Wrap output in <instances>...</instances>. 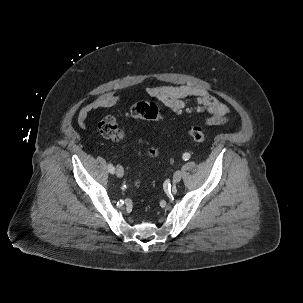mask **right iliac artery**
<instances>
[{
	"instance_id": "right-iliac-artery-1",
	"label": "right iliac artery",
	"mask_w": 303,
	"mask_h": 303,
	"mask_svg": "<svg viewBox=\"0 0 303 303\" xmlns=\"http://www.w3.org/2000/svg\"><path fill=\"white\" fill-rule=\"evenodd\" d=\"M108 171L111 173V174H113L114 172H115V168H114V166L110 163V164H108Z\"/></svg>"
}]
</instances>
